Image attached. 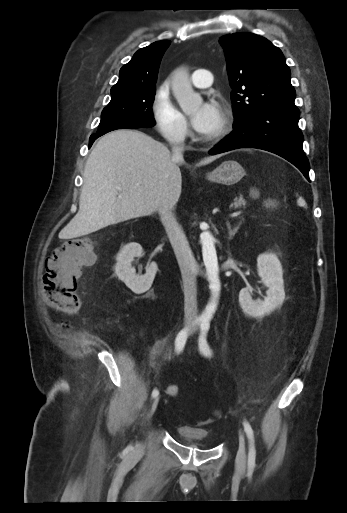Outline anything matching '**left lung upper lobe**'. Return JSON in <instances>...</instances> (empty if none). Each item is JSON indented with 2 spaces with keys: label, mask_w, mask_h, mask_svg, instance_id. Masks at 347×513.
I'll return each instance as SVG.
<instances>
[{
  "label": "left lung upper lobe",
  "mask_w": 347,
  "mask_h": 513,
  "mask_svg": "<svg viewBox=\"0 0 347 513\" xmlns=\"http://www.w3.org/2000/svg\"><path fill=\"white\" fill-rule=\"evenodd\" d=\"M233 91L235 123L271 107H296L283 53L264 37L233 33L220 38Z\"/></svg>",
  "instance_id": "obj_1"
}]
</instances>
